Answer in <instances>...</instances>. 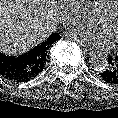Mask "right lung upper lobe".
I'll list each match as a JSON object with an SVG mask.
<instances>
[{"mask_svg": "<svg viewBox=\"0 0 118 118\" xmlns=\"http://www.w3.org/2000/svg\"><path fill=\"white\" fill-rule=\"evenodd\" d=\"M56 40H58V35L53 33L47 39V41L37 45L36 47L32 49L34 56L38 59L37 68L43 70V67L46 63V56H47L48 49L51 46V44L55 42Z\"/></svg>", "mask_w": 118, "mask_h": 118, "instance_id": "right-lung-upper-lobe-1", "label": "right lung upper lobe"}]
</instances>
